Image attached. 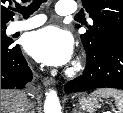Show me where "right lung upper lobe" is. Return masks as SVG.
<instances>
[{"mask_svg":"<svg viewBox=\"0 0 123 113\" xmlns=\"http://www.w3.org/2000/svg\"><path fill=\"white\" fill-rule=\"evenodd\" d=\"M13 5L14 0H1V26L6 25L10 20H13Z\"/></svg>","mask_w":123,"mask_h":113,"instance_id":"right-lung-upper-lobe-1","label":"right lung upper lobe"}]
</instances>
